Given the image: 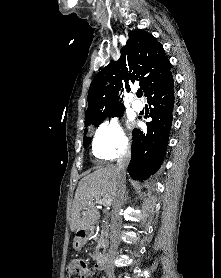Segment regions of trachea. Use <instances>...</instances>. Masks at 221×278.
<instances>
[{
  "instance_id": "3493384b",
  "label": "trachea",
  "mask_w": 221,
  "mask_h": 278,
  "mask_svg": "<svg viewBox=\"0 0 221 278\" xmlns=\"http://www.w3.org/2000/svg\"><path fill=\"white\" fill-rule=\"evenodd\" d=\"M142 94H143V93H142V90H138V91H137V96H138V97H141Z\"/></svg>"
}]
</instances>
